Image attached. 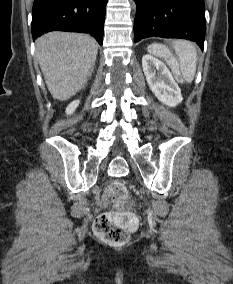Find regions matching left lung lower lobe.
Masks as SVG:
<instances>
[{"label": "left lung lower lobe", "mask_w": 233, "mask_h": 284, "mask_svg": "<svg viewBox=\"0 0 233 284\" xmlns=\"http://www.w3.org/2000/svg\"><path fill=\"white\" fill-rule=\"evenodd\" d=\"M134 42L151 36L195 41L203 49L204 0H135Z\"/></svg>", "instance_id": "0a47b994"}]
</instances>
